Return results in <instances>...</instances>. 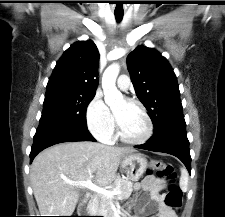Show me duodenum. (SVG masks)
Segmentation results:
<instances>
[{
  "mask_svg": "<svg viewBox=\"0 0 225 217\" xmlns=\"http://www.w3.org/2000/svg\"><path fill=\"white\" fill-rule=\"evenodd\" d=\"M90 198H91V194L88 195V199H90ZM82 212H83V213H87V209L84 208V209L82 210ZM109 217H120V215L117 214V213H112Z\"/></svg>",
  "mask_w": 225,
  "mask_h": 217,
  "instance_id": "duodenum-1",
  "label": "duodenum"
}]
</instances>
